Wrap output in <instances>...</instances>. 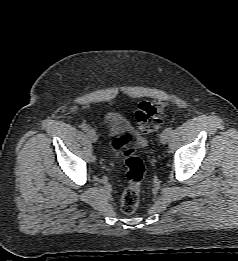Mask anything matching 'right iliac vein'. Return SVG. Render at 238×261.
<instances>
[{
  "instance_id": "right-iliac-vein-1",
  "label": "right iliac vein",
  "mask_w": 238,
  "mask_h": 261,
  "mask_svg": "<svg viewBox=\"0 0 238 261\" xmlns=\"http://www.w3.org/2000/svg\"><path fill=\"white\" fill-rule=\"evenodd\" d=\"M87 136L91 140V142L95 143L97 141V134L93 129L87 130Z\"/></svg>"
}]
</instances>
